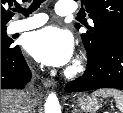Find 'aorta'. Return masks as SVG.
<instances>
[{"instance_id": "obj_1", "label": "aorta", "mask_w": 123, "mask_h": 113, "mask_svg": "<svg viewBox=\"0 0 123 113\" xmlns=\"http://www.w3.org/2000/svg\"><path fill=\"white\" fill-rule=\"evenodd\" d=\"M45 113H61V107L55 93H50L44 105Z\"/></svg>"}]
</instances>
